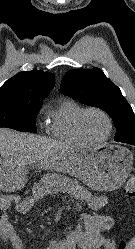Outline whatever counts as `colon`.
<instances>
[{
  "label": "colon",
  "instance_id": "1",
  "mask_svg": "<svg viewBox=\"0 0 135 249\" xmlns=\"http://www.w3.org/2000/svg\"><path fill=\"white\" fill-rule=\"evenodd\" d=\"M125 191L129 198H135V174L132 175L126 182ZM126 241H122L119 244L118 249H125Z\"/></svg>",
  "mask_w": 135,
  "mask_h": 249
}]
</instances>
